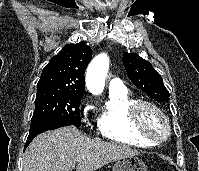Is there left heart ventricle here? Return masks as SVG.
Wrapping results in <instances>:
<instances>
[{
  "label": "left heart ventricle",
  "instance_id": "left-heart-ventricle-1",
  "mask_svg": "<svg viewBox=\"0 0 199 171\" xmlns=\"http://www.w3.org/2000/svg\"><path fill=\"white\" fill-rule=\"evenodd\" d=\"M146 123L148 126L157 132H162L164 129V123L161 118L154 112H148L146 117Z\"/></svg>",
  "mask_w": 199,
  "mask_h": 171
}]
</instances>
